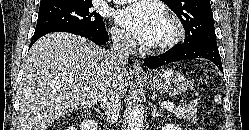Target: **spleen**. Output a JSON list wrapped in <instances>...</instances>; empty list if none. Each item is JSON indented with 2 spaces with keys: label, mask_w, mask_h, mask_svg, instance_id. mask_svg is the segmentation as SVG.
Segmentation results:
<instances>
[{
  "label": "spleen",
  "mask_w": 249,
  "mask_h": 130,
  "mask_svg": "<svg viewBox=\"0 0 249 130\" xmlns=\"http://www.w3.org/2000/svg\"><path fill=\"white\" fill-rule=\"evenodd\" d=\"M215 102H217V103H220V102H221V97H220L219 95H217V96L215 97Z\"/></svg>",
  "instance_id": "1"
}]
</instances>
